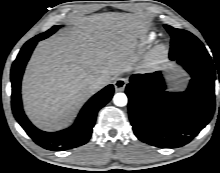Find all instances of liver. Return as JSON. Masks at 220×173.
Returning a JSON list of instances; mask_svg holds the SVG:
<instances>
[{"label": "liver", "instance_id": "obj_1", "mask_svg": "<svg viewBox=\"0 0 220 173\" xmlns=\"http://www.w3.org/2000/svg\"><path fill=\"white\" fill-rule=\"evenodd\" d=\"M146 30L139 16L95 14L77 28L41 41L22 81L26 114L42 129L66 125L98 90L96 78L130 70L136 38Z\"/></svg>", "mask_w": 220, "mask_h": 173}]
</instances>
